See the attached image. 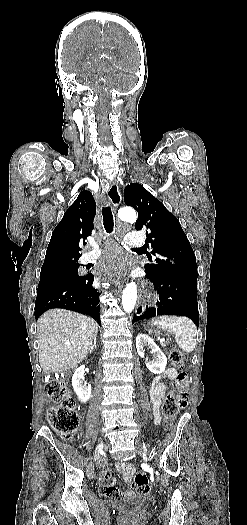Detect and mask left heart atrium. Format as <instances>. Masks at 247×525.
I'll list each match as a JSON object with an SVG mask.
<instances>
[{
    "instance_id": "39dd6f15",
    "label": "left heart atrium",
    "mask_w": 247,
    "mask_h": 525,
    "mask_svg": "<svg viewBox=\"0 0 247 525\" xmlns=\"http://www.w3.org/2000/svg\"><path fill=\"white\" fill-rule=\"evenodd\" d=\"M99 261H103V272L93 273L97 281L104 282L126 272L132 262V255L125 251L108 249Z\"/></svg>"
}]
</instances>
